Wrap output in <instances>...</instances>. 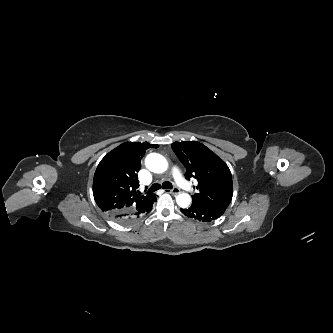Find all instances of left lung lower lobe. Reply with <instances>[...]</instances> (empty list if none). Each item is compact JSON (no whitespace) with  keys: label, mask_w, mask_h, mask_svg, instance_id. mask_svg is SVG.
<instances>
[{"label":"left lung lower lobe","mask_w":333,"mask_h":333,"mask_svg":"<svg viewBox=\"0 0 333 333\" xmlns=\"http://www.w3.org/2000/svg\"><path fill=\"white\" fill-rule=\"evenodd\" d=\"M181 212L189 218H193L203 222H210L219 218L226 208L208 206L200 202H192V205L181 208Z\"/></svg>","instance_id":"obj_1"}]
</instances>
